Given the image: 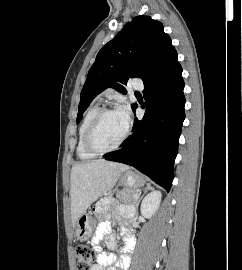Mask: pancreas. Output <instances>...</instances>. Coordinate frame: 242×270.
<instances>
[{"label": "pancreas", "mask_w": 242, "mask_h": 270, "mask_svg": "<svg viewBox=\"0 0 242 270\" xmlns=\"http://www.w3.org/2000/svg\"><path fill=\"white\" fill-rule=\"evenodd\" d=\"M136 195H137V192L131 191L129 189H124L123 191L120 192L119 199L124 204H128V205L137 207L138 201L135 198Z\"/></svg>", "instance_id": "obj_1"}]
</instances>
